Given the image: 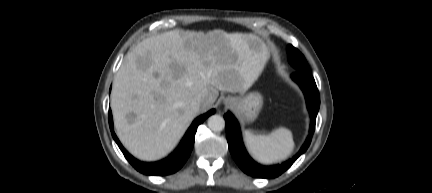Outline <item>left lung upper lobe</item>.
<instances>
[{
    "mask_svg": "<svg viewBox=\"0 0 432 193\" xmlns=\"http://www.w3.org/2000/svg\"><path fill=\"white\" fill-rule=\"evenodd\" d=\"M288 52V61L297 70L310 72L309 66L302 55V53L293 47L292 45H288L287 47Z\"/></svg>",
    "mask_w": 432,
    "mask_h": 193,
    "instance_id": "obj_1",
    "label": "left lung upper lobe"
}]
</instances>
